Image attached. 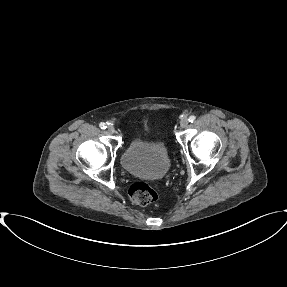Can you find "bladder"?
Wrapping results in <instances>:
<instances>
[{
    "mask_svg": "<svg viewBox=\"0 0 287 287\" xmlns=\"http://www.w3.org/2000/svg\"><path fill=\"white\" fill-rule=\"evenodd\" d=\"M122 167L136 176H164L171 161L164 144L135 137L121 155Z\"/></svg>",
    "mask_w": 287,
    "mask_h": 287,
    "instance_id": "31cf9c89",
    "label": "bladder"
}]
</instances>
